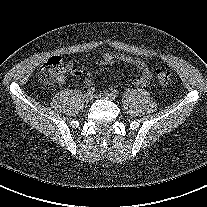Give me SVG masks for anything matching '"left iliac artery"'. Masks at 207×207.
I'll return each instance as SVG.
<instances>
[{
	"label": "left iliac artery",
	"mask_w": 207,
	"mask_h": 207,
	"mask_svg": "<svg viewBox=\"0 0 207 207\" xmlns=\"http://www.w3.org/2000/svg\"><path fill=\"white\" fill-rule=\"evenodd\" d=\"M112 94L116 97V96L119 95V91H118V90H113V91H112Z\"/></svg>",
	"instance_id": "obj_1"
}]
</instances>
